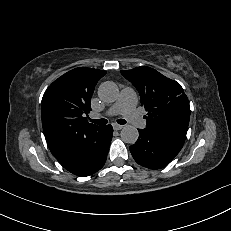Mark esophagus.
Listing matches in <instances>:
<instances>
[{"instance_id":"esophagus-1","label":"esophagus","mask_w":231,"mask_h":231,"mask_svg":"<svg viewBox=\"0 0 231 231\" xmlns=\"http://www.w3.org/2000/svg\"><path fill=\"white\" fill-rule=\"evenodd\" d=\"M113 128L114 130H121L123 128V125L113 124Z\"/></svg>"}]
</instances>
